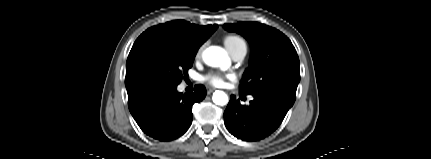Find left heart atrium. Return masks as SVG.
<instances>
[{"label":"left heart atrium","mask_w":431,"mask_h":159,"mask_svg":"<svg viewBox=\"0 0 431 159\" xmlns=\"http://www.w3.org/2000/svg\"><path fill=\"white\" fill-rule=\"evenodd\" d=\"M204 79L213 86H222L225 83V76L217 73L207 74Z\"/></svg>","instance_id":"left-heart-atrium-1"}]
</instances>
